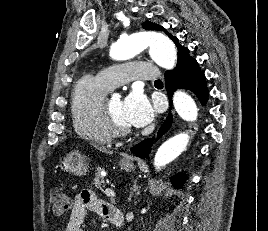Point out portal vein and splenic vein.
I'll use <instances>...</instances> for the list:
<instances>
[{
    "mask_svg": "<svg viewBox=\"0 0 268 231\" xmlns=\"http://www.w3.org/2000/svg\"><path fill=\"white\" fill-rule=\"evenodd\" d=\"M105 194H106L108 197H111V198H113V197L116 196L115 192H114L111 188H107V189L105 190Z\"/></svg>",
    "mask_w": 268,
    "mask_h": 231,
    "instance_id": "portal-vein-and-splenic-vein-1",
    "label": "portal vein and splenic vein"
}]
</instances>
